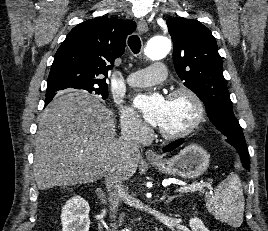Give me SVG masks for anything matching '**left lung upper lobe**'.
<instances>
[{
	"instance_id": "left-lung-upper-lobe-1",
	"label": "left lung upper lobe",
	"mask_w": 268,
	"mask_h": 231,
	"mask_svg": "<svg viewBox=\"0 0 268 231\" xmlns=\"http://www.w3.org/2000/svg\"><path fill=\"white\" fill-rule=\"evenodd\" d=\"M166 23L178 76L203 101L209 119L227 141L235 148H247L232 110L222 60L211 31L199 21L183 17L169 18Z\"/></svg>"
}]
</instances>
